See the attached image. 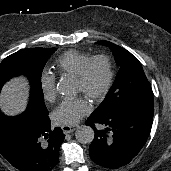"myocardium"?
<instances>
[{"instance_id":"myocardium-1","label":"myocardium","mask_w":171,"mask_h":171,"mask_svg":"<svg viewBox=\"0 0 171 171\" xmlns=\"http://www.w3.org/2000/svg\"><path fill=\"white\" fill-rule=\"evenodd\" d=\"M98 61H102L105 64L106 67V80L103 84V86L95 91V92H90L87 88H86V83L88 80V76H89V71L90 68L92 67V65L95 62ZM75 79L82 84L83 86V91L82 93H84L86 96H88L90 99L92 100H99L101 98H103L111 89L112 83H113V79H114V70H113V65L112 62L110 60V58L107 55L104 54H100V55H95L90 57L81 67L79 73L75 76Z\"/></svg>"}]
</instances>
